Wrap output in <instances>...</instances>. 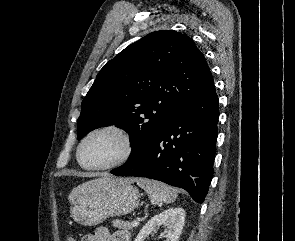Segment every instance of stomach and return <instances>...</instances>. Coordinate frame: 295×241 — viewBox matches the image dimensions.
Segmentation results:
<instances>
[{"label": "stomach", "mask_w": 295, "mask_h": 241, "mask_svg": "<svg viewBox=\"0 0 295 241\" xmlns=\"http://www.w3.org/2000/svg\"><path fill=\"white\" fill-rule=\"evenodd\" d=\"M140 192L126 179L98 184L72 201L71 217L84 226H95L113 216L132 212L139 204Z\"/></svg>", "instance_id": "0dacf381"}]
</instances>
